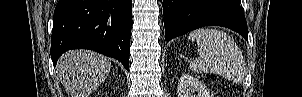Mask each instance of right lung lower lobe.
Returning <instances> with one entry per match:
<instances>
[{
  "mask_svg": "<svg viewBox=\"0 0 302 97\" xmlns=\"http://www.w3.org/2000/svg\"><path fill=\"white\" fill-rule=\"evenodd\" d=\"M132 0H59L53 19L51 58L89 49L118 59L129 71Z\"/></svg>",
  "mask_w": 302,
  "mask_h": 97,
  "instance_id": "98d812e1",
  "label": "right lung lower lobe"
}]
</instances>
